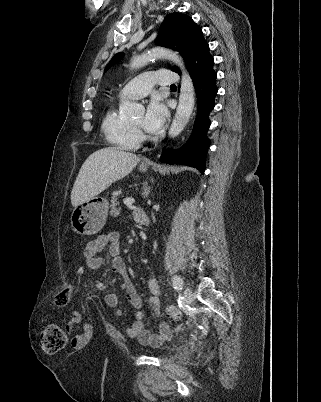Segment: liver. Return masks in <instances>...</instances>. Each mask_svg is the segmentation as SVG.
Returning <instances> with one entry per match:
<instances>
[{
  "instance_id": "6515ba94",
  "label": "liver",
  "mask_w": 321,
  "mask_h": 402,
  "mask_svg": "<svg viewBox=\"0 0 321 402\" xmlns=\"http://www.w3.org/2000/svg\"><path fill=\"white\" fill-rule=\"evenodd\" d=\"M140 157L117 147H106L92 153L83 163L71 192V203L77 207L100 194L113 182L128 175Z\"/></svg>"
}]
</instances>
